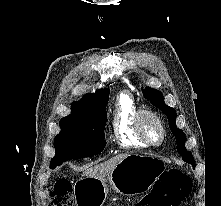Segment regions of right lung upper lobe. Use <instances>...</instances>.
Segmentation results:
<instances>
[{
  "mask_svg": "<svg viewBox=\"0 0 221 206\" xmlns=\"http://www.w3.org/2000/svg\"><path fill=\"white\" fill-rule=\"evenodd\" d=\"M109 89H101L94 94H85L80 101L72 103L71 114L88 113L106 109Z\"/></svg>",
  "mask_w": 221,
  "mask_h": 206,
  "instance_id": "obj_1",
  "label": "right lung upper lobe"
}]
</instances>
